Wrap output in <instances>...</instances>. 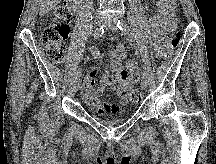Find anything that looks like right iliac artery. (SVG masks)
Segmentation results:
<instances>
[{
  "label": "right iliac artery",
  "instance_id": "82829eb1",
  "mask_svg": "<svg viewBox=\"0 0 216 164\" xmlns=\"http://www.w3.org/2000/svg\"><path fill=\"white\" fill-rule=\"evenodd\" d=\"M103 33H104L103 26L100 28H97L93 34L94 39H98L99 37H101L103 35ZM76 71L77 72H75V78L74 79L77 81L79 79L78 77H81V72H80L81 70L78 68Z\"/></svg>",
  "mask_w": 216,
  "mask_h": 164
}]
</instances>
